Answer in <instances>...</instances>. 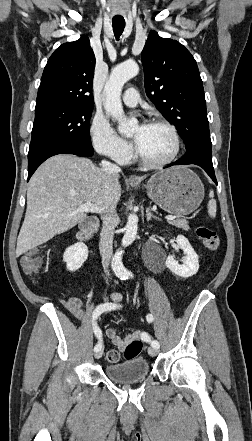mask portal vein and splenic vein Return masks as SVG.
Wrapping results in <instances>:
<instances>
[{
  "instance_id": "1",
  "label": "portal vein and splenic vein",
  "mask_w": 252,
  "mask_h": 441,
  "mask_svg": "<svg viewBox=\"0 0 252 441\" xmlns=\"http://www.w3.org/2000/svg\"><path fill=\"white\" fill-rule=\"evenodd\" d=\"M78 211H80V212L101 213V212L104 211V210H103L102 208H100V207H98V206H96V205L90 203V202H87V203L81 205V206L78 208ZM165 218H166V220H168V221H173V220L175 219V216H166Z\"/></svg>"
}]
</instances>
